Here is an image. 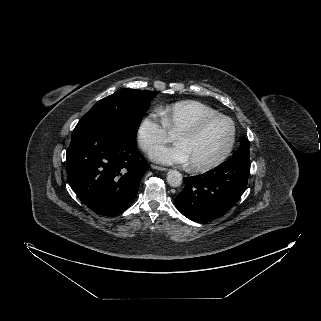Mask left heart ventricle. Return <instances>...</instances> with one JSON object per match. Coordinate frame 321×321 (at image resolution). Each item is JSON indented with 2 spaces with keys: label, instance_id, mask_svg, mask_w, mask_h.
<instances>
[{
  "label": "left heart ventricle",
  "instance_id": "b2bd125f",
  "mask_svg": "<svg viewBox=\"0 0 321 321\" xmlns=\"http://www.w3.org/2000/svg\"><path fill=\"white\" fill-rule=\"evenodd\" d=\"M230 138V126L221 119L205 125L195 134L177 133L175 139L188 151L190 163L203 164L215 160L225 149Z\"/></svg>",
  "mask_w": 321,
  "mask_h": 321
}]
</instances>
